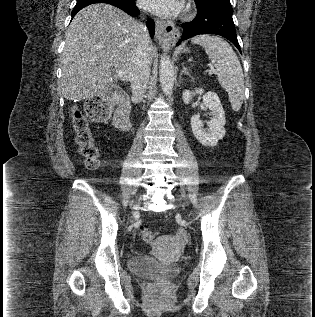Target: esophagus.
<instances>
[{"label": "esophagus", "instance_id": "obj_1", "mask_svg": "<svg viewBox=\"0 0 315 317\" xmlns=\"http://www.w3.org/2000/svg\"><path fill=\"white\" fill-rule=\"evenodd\" d=\"M155 36L159 44L168 49L179 39L180 32L174 25L157 19L155 21Z\"/></svg>", "mask_w": 315, "mask_h": 317}]
</instances>
